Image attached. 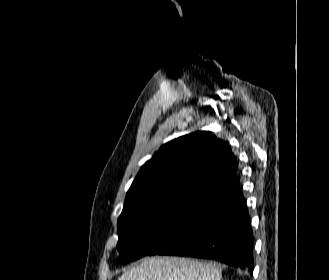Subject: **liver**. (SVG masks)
I'll return each instance as SVG.
<instances>
[{
	"label": "liver",
	"mask_w": 329,
	"mask_h": 280,
	"mask_svg": "<svg viewBox=\"0 0 329 280\" xmlns=\"http://www.w3.org/2000/svg\"><path fill=\"white\" fill-rule=\"evenodd\" d=\"M118 280H221V269L213 262L155 256L143 259Z\"/></svg>",
	"instance_id": "1"
}]
</instances>
